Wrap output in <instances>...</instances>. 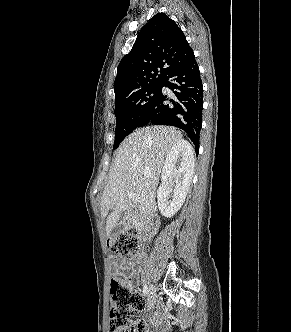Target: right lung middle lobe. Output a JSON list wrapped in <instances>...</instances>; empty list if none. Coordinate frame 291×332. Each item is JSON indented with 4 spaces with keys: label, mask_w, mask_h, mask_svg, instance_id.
<instances>
[{
    "label": "right lung middle lobe",
    "mask_w": 291,
    "mask_h": 332,
    "mask_svg": "<svg viewBox=\"0 0 291 332\" xmlns=\"http://www.w3.org/2000/svg\"><path fill=\"white\" fill-rule=\"evenodd\" d=\"M162 82L130 92L115 100L116 129L114 148L141 123L146 111L158 97Z\"/></svg>",
    "instance_id": "1"
}]
</instances>
